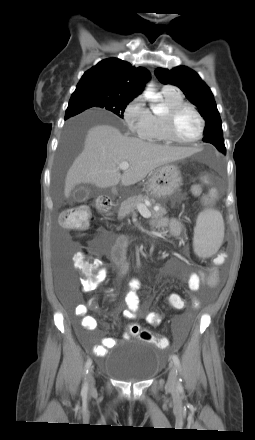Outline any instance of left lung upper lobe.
<instances>
[{"instance_id": "left-lung-upper-lobe-1", "label": "left lung upper lobe", "mask_w": 255, "mask_h": 440, "mask_svg": "<svg viewBox=\"0 0 255 440\" xmlns=\"http://www.w3.org/2000/svg\"><path fill=\"white\" fill-rule=\"evenodd\" d=\"M155 75L163 84L175 85L184 92L187 99L199 109V113L205 119L203 141L213 144L219 151L226 154L222 122L213 94L199 75L186 66L171 70L157 68Z\"/></svg>"}]
</instances>
